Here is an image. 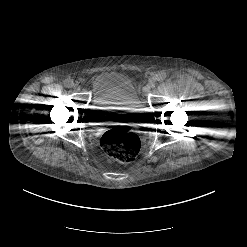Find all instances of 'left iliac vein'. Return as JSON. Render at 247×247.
Returning a JSON list of instances; mask_svg holds the SVG:
<instances>
[{
	"instance_id": "1",
	"label": "left iliac vein",
	"mask_w": 247,
	"mask_h": 247,
	"mask_svg": "<svg viewBox=\"0 0 247 247\" xmlns=\"http://www.w3.org/2000/svg\"><path fill=\"white\" fill-rule=\"evenodd\" d=\"M155 85H156V81L154 79H150L145 88L146 90H150L154 88Z\"/></svg>"
}]
</instances>
